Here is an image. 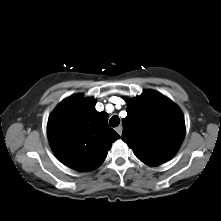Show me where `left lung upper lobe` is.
<instances>
[{
  "instance_id": "5c2ea615",
  "label": "left lung upper lobe",
  "mask_w": 221,
  "mask_h": 221,
  "mask_svg": "<svg viewBox=\"0 0 221 221\" xmlns=\"http://www.w3.org/2000/svg\"><path fill=\"white\" fill-rule=\"evenodd\" d=\"M122 140L136 157L157 166L176 154L185 135L184 117L170 99L153 90L127 101Z\"/></svg>"
}]
</instances>
